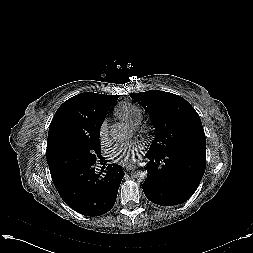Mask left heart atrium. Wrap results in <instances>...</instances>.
<instances>
[{"instance_id":"obj_1","label":"left heart atrium","mask_w":253,"mask_h":253,"mask_svg":"<svg viewBox=\"0 0 253 253\" xmlns=\"http://www.w3.org/2000/svg\"><path fill=\"white\" fill-rule=\"evenodd\" d=\"M141 149L142 147L138 143H118L113 147L111 154L115 161L128 164L134 161Z\"/></svg>"}]
</instances>
